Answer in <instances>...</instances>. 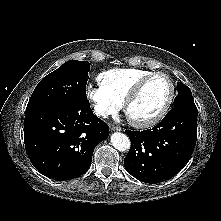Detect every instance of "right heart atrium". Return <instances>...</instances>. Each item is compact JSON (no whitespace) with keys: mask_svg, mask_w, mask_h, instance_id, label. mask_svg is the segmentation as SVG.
<instances>
[{"mask_svg":"<svg viewBox=\"0 0 221 221\" xmlns=\"http://www.w3.org/2000/svg\"><path fill=\"white\" fill-rule=\"evenodd\" d=\"M86 97L92 104L95 114L101 118L114 115L121 108V103L114 99L100 85H88Z\"/></svg>","mask_w":221,"mask_h":221,"instance_id":"d8ad5b80","label":"right heart atrium"}]
</instances>
